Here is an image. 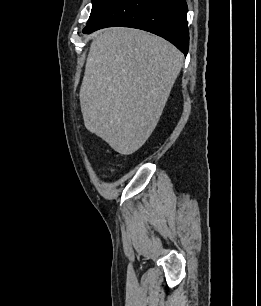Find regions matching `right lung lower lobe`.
Segmentation results:
<instances>
[{"label": "right lung lower lobe", "instance_id": "right-lung-lower-lobe-1", "mask_svg": "<svg viewBox=\"0 0 261 306\" xmlns=\"http://www.w3.org/2000/svg\"><path fill=\"white\" fill-rule=\"evenodd\" d=\"M123 26L159 35L185 55L189 47L185 0H113L90 22L83 33Z\"/></svg>", "mask_w": 261, "mask_h": 306}]
</instances>
